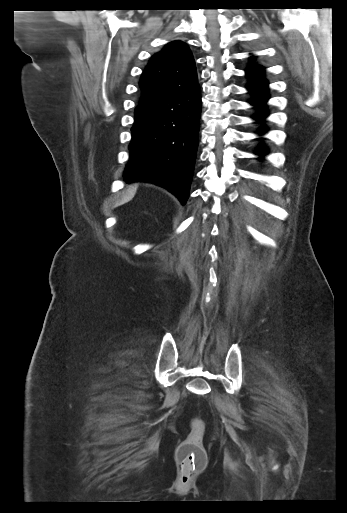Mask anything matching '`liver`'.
<instances>
[{"mask_svg": "<svg viewBox=\"0 0 347 513\" xmlns=\"http://www.w3.org/2000/svg\"><path fill=\"white\" fill-rule=\"evenodd\" d=\"M136 190H137V186L136 185L135 186H131L128 189L127 193L123 196V198L119 202H117L115 204V206L123 205V204L129 202L130 200H132V198L134 197V195L136 193Z\"/></svg>", "mask_w": 347, "mask_h": 513, "instance_id": "6515ba94", "label": "liver"}]
</instances>
